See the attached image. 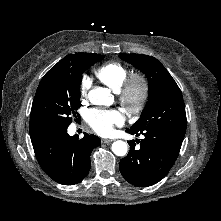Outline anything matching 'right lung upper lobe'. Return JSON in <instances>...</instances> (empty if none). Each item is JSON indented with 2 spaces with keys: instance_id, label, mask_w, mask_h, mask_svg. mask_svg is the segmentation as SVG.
Returning a JSON list of instances; mask_svg holds the SVG:
<instances>
[{
  "instance_id": "right-lung-upper-lobe-1",
  "label": "right lung upper lobe",
  "mask_w": 221,
  "mask_h": 221,
  "mask_svg": "<svg viewBox=\"0 0 221 221\" xmlns=\"http://www.w3.org/2000/svg\"><path fill=\"white\" fill-rule=\"evenodd\" d=\"M80 54L81 53L67 55L62 60H60L52 69H50L45 75L49 76V75H56L60 73L68 65L72 64L76 60V58H78ZM37 134H39V132L33 129H30V136L37 135Z\"/></svg>"
}]
</instances>
